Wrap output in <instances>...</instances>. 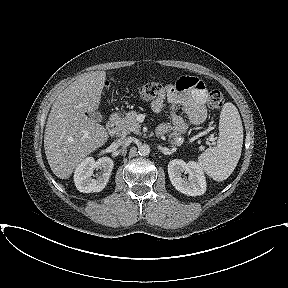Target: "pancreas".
<instances>
[{"instance_id":"cf45deb5","label":"pancreas","mask_w":288,"mask_h":288,"mask_svg":"<svg viewBox=\"0 0 288 288\" xmlns=\"http://www.w3.org/2000/svg\"><path fill=\"white\" fill-rule=\"evenodd\" d=\"M137 112L131 111L125 114V117L119 118L117 123V135L124 136L131 132L139 134L141 124L137 121ZM169 141L171 144L181 146L184 143V138L180 132L174 131L169 135Z\"/></svg>"}]
</instances>
